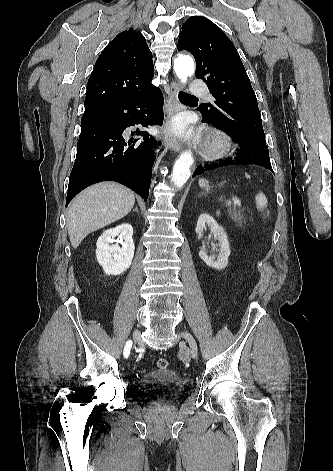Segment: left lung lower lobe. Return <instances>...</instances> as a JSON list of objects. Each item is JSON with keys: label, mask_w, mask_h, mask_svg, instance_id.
<instances>
[{"label": "left lung lower lobe", "mask_w": 333, "mask_h": 471, "mask_svg": "<svg viewBox=\"0 0 333 471\" xmlns=\"http://www.w3.org/2000/svg\"><path fill=\"white\" fill-rule=\"evenodd\" d=\"M203 122L213 124L207 118L203 116ZM215 125V124H213ZM216 126V125H215ZM218 127V126H216ZM219 128V127H218ZM238 142V141H237ZM240 149L238 150L236 157L229 158L218 163L207 164L204 166H199L195 170L193 177L198 174H201L207 170L214 168L227 166V165H239V164H257L272 170L268 147L265 145H242L238 142ZM274 173V172H273Z\"/></svg>", "instance_id": "1"}]
</instances>
